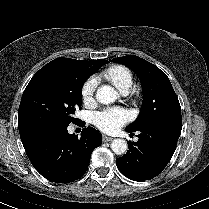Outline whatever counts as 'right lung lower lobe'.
Instances as JSON below:
<instances>
[{
  "label": "right lung lower lobe",
  "mask_w": 209,
  "mask_h": 209,
  "mask_svg": "<svg viewBox=\"0 0 209 209\" xmlns=\"http://www.w3.org/2000/svg\"><path fill=\"white\" fill-rule=\"evenodd\" d=\"M101 143L102 135L87 127L80 138L64 128L34 136L23 146L32 165L43 177L56 183H69L86 172L92 151Z\"/></svg>",
  "instance_id": "98d812e1"
}]
</instances>
